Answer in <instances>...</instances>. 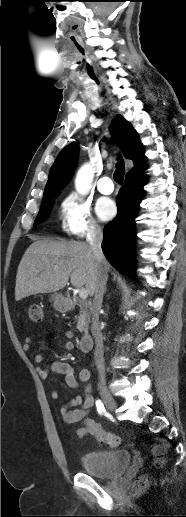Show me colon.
<instances>
[{
	"label": "colon",
	"mask_w": 186,
	"mask_h": 517,
	"mask_svg": "<svg viewBox=\"0 0 186 517\" xmlns=\"http://www.w3.org/2000/svg\"><path fill=\"white\" fill-rule=\"evenodd\" d=\"M28 317L30 321L34 323H39L43 319V310L39 304H31L28 308ZM98 440L103 443L108 448H116L120 444V439L105 430L98 429ZM151 453L154 457V464L158 467H161L165 464V451L159 446L155 445L151 448ZM147 482L145 479H141L136 484V490H142L145 488Z\"/></svg>",
	"instance_id": "5ec220e1"
}]
</instances>
